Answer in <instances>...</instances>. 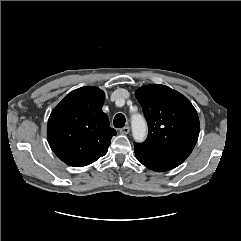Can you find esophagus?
<instances>
[{
  "label": "esophagus",
  "instance_id": "1",
  "mask_svg": "<svg viewBox=\"0 0 241 241\" xmlns=\"http://www.w3.org/2000/svg\"><path fill=\"white\" fill-rule=\"evenodd\" d=\"M129 132H130V127H128V126H125L120 129L121 134H128Z\"/></svg>",
  "mask_w": 241,
  "mask_h": 241
}]
</instances>
